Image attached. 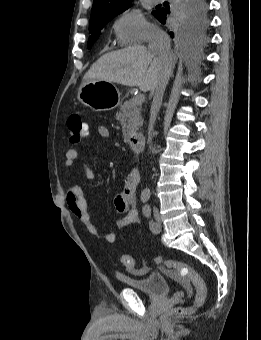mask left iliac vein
<instances>
[{"label":"left iliac vein","mask_w":261,"mask_h":340,"mask_svg":"<svg viewBox=\"0 0 261 340\" xmlns=\"http://www.w3.org/2000/svg\"><path fill=\"white\" fill-rule=\"evenodd\" d=\"M154 217H155V221L157 224V228L155 229L154 232L158 233L162 229V221H161V216L159 214V211L157 209H154Z\"/></svg>","instance_id":"4c4485c4"}]
</instances>
